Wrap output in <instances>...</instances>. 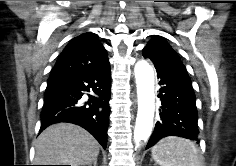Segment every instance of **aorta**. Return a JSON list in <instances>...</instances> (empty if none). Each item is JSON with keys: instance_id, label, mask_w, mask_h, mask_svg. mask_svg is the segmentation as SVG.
Masks as SVG:
<instances>
[{"instance_id": "1", "label": "aorta", "mask_w": 236, "mask_h": 166, "mask_svg": "<svg viewBox=\"0 0 236 166\" xmlns=\"http://www.w3.org/2000/svg\"><path fill=\"white\" fill-rule=\"evenodd\" d=\"M134 72L138 97L134 141L139 144L141 141H147L153 128L155 111L154 70L148 62L141 60L136 63Z\"/></svg>"}]
</instances>
